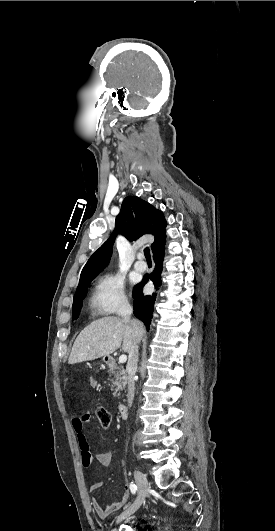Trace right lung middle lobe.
<instances>
[{"mask_svg":"<svg viewBox=\"0 0 275 531\" xmlns=\"http://www.w3.org/2000/svg\"><path fill=\"white\" fill-rule=\"evenodd\" d=\"M93 278L86 281L80 288L76 290V294L73 300L72 306V320H76L79 317V313L82 307V300L85 298L87 293V287L90 284Z\"/></svg>","mask_w":275,"mask_h":531,"instance_id":"1","label":"right lung middle lobe"}]
</instances>
